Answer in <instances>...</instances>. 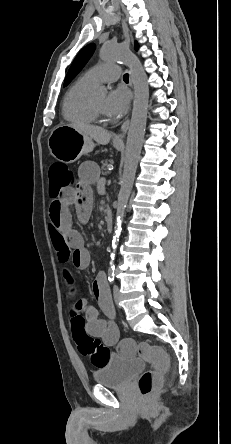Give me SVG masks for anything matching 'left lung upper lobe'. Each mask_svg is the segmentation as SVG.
<instances>
[{
  "label": "left lung upper lobe",
  "mask_w": 231,
  "mask_h": 444,
  "mask_svg": "<svg viewBox=\"0 0 231 444\" xmlns=\"http://www.w3.org/2000/svg\"><path fill=\"white\" fill-rule=\"evenodd\" d=\"M95 49V44H89L85 46L74 59L64 81V86H67L71 80L80 72L84 67L90 56ZM135 49L138 50V43L135 42Z\"/></svg>",
  "instance_id": "obj_1"
}]
</instances>
